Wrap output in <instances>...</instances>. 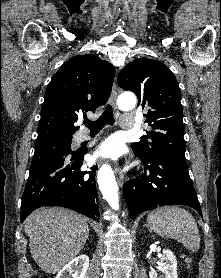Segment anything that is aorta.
I'll return each instance as SVG.
<instances>
[{"instance_id": "aorta-1", "label": "aorta", "mask_w": 221, "mask_h": 278, "mask_svg": "<svg viewBox=\"0 0 221 278\" xmlns=\"http://www.w3.org/2000/svg\"><path fill=\"white\" fill-rule=\"evenodd\" d=\"M136 100L134 97L129 99L123 98L119 103V106L123 110H129L134 107ZM97 181L99 189L108 202L112 209H119V196H118V185L115 180V176L112 168L109 165H103L97 175Z\"/></svg>"}]
</instances>
